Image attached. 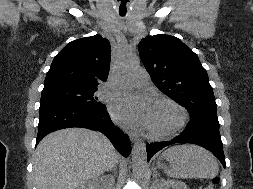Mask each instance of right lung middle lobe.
<instances>
[{
  "instance_id": "right-lung-middle-lobe-1",
  "label": "right lung middle lobe",
  "mask_w": 253,
  "mask_h": 189,
  "mask_svg": "<svg viewBox=\"0 0 253 189\" xmlns=\"http://www.w3.org/2000/svg\"><path fill=\"white\" fill-rule=\"evenodd\" d=\"M96 87H57L44 89L41 104H70L93 109H106V106L94 96Z\"/></svg>"
}]
</instances>
